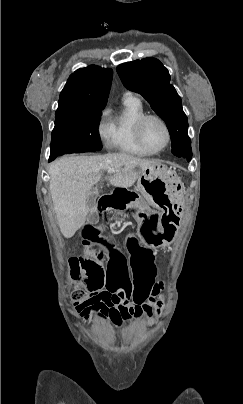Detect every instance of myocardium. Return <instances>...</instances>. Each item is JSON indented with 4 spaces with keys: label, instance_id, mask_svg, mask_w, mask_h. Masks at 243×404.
Returning <instances> with one entry per match:
<instances>
[{
    "label": "myocardium",
    "instance_id": "myocardium-1",
    "mask_svg": "<svg viewBox=\"0 0 243 404\" xmlns=\"http://www.w3.org/2000/svg\"><path fill=\"white\" fill-rule=\"evenodd\" d=\"M151 118H155V119L159 120L164 125V127L167 131V135H168L167 143L164 147H162L160 149H155V148H152L151 146H149L147 144V142L145 141L143 134H142V129H143L144 124L146 123V121H148ZM134 132H135V136H136L138 142L140 143V145L152 153L163 152L164 150L169 148V146L172 143V139H173V134H172V130H171L169 123L167 122V120L164 117H162L161 115L156 114V113H144L140 118H138V120L135 122V125H134Z\"/></svg>",
    "mask_w": 243,
    "mask_h": 404
}]
</instances>
